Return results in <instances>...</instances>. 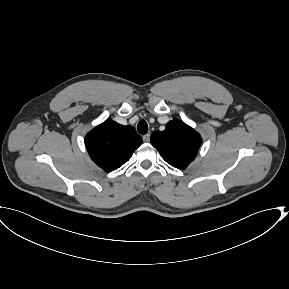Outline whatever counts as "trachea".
Masks as SVG:
<instances>
[{"label": "trachea", "instance_id": "trachea-1", "mask_svg": "<svg viewBox=\"0 0 289 289\" xmlns=\"http://www.w3.org/2000/svg\"><path fill=\"white\" fill-rule=\"evenodd\" d=\"M137 130L140 134H146L148 132V125L145 120H141L137 125Z\"/></svg>", "mask_w": 289, "mask_h": 289}]
</instances>
